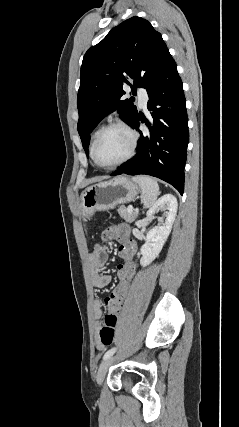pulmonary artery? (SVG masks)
<instances>
[{"label":"pulmonary artery","instance_id":"pulmonary-artery-1","mask_svg":"<svg viewBox=\"0 0 239 427\" xmlns=\"http://www.w3.org/2000/svg\"><path fill=\"white\" fill-rule=\"evenodd\" d=\"M139 102L142 107H145L148 100L147 91L144 88L139 89Z\"/></svg>","mask_w":239,"mask_h":427}]
</instances>
